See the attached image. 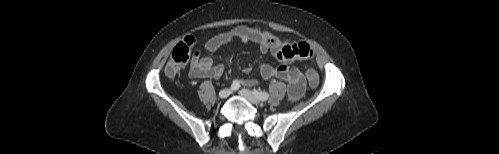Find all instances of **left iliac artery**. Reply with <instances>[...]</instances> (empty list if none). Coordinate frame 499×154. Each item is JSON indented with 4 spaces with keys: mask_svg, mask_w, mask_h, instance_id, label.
Here are the masks:
<instances>
[{
    "mask_svg": "<svg viewBox=\"0 0 499 154\" xmlns=\"http://www.w3.org/2000/svg\"><path fill=\"white\" fill-rule=\"evenodd\" d=\"M253 94L259 99V100H262V101H266L268 98H269V94L267 92H264V91H257V90H254L253 91Z\"/></svg>",
    "mask_w": 499,
    "mask_h": 154,
    "instance_id": "44dca946",
    "label": "left iliac artery"
}]
</instances>
